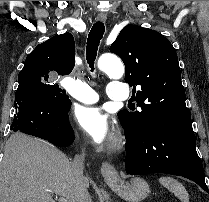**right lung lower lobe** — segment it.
Returning <instances> with one entry per match:
<instances>
[{"mask_svg":"<svg viewBox=\"0 0 209 202\" xmlns=\"http://www.w3.org/2000/svg\"><path fill=\"white\" fill-rule=\"evenodd\" d=\"M67 109H61L52 100L39 95L31 85H19L15 94L16 114L11 129L33 135L65 147L74 141Z\"/></svg>","mask_w":209,"mask_h":202,"instance_id":"obj_1","label":"right lung lower lobe"}]
</instances>
